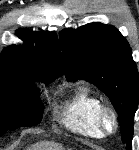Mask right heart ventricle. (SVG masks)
<instances>
[{
  "label": "right heart ventricle",
  "mask_w": 139,
  "mask_h": 150,
  "mask_svg": "<svg viewBox=\"0 0 139 150\" xmlns=\"http://www.w3.org/2000/svg\"><path fill=\"white\" fill-rule=\"evenodd\" d=\"M103 106L99 97L80 88L66 102L61 123L70 131L90 138H102L98 126V113Z\"/></svg>",
  "instance_id": "e07e8e85"
}]
</instances>
